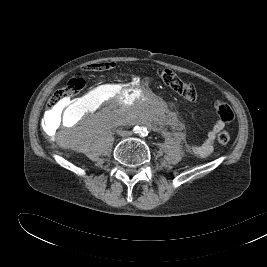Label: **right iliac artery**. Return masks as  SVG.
Listing matches in <instances>:
<instances>
[{
  "label": "right iliac artery",
  "mask_w": 267,
  "mask_h": 267,
  "mask_svg": "<svg viewBox=\"0 0 267 267\" xmlns=\"http://www.w3.org/2000/svg\"><path fill=\"white\" fill-rule=\"evenodd\" d=\"M133 130H134L135 133H141L142 129L140 127H138V126H135Z\"/></svg>",
  "instance_id": "right-iliac-artery-1"
}]
</instances>
